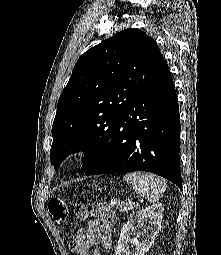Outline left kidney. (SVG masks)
<instances>
[{
	"mask_svg": "<svg viewBox=\"0 0 221 255\" xmlns=\"http://www.w3.org/2000/svg\"><path fill=\"white\" fill-rule=\"evenodd\" d=\"M163 205L153 204L129 216L121 229L114 255H145L161 229ZM137 224L136 228L134 225ZM137 231V232H136ZM134 233L135 238L130 235ZM142 238L141 241L138 238ZM129 243L133 250L130 251Z\"/></svg>",
	"mask_w": 221,
	"mask_h": 255,
	"instance_id": "5707ae66",
	"label": "left kidney"
}]
</instances>
